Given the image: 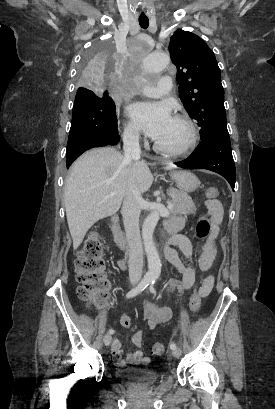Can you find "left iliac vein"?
<instances>
[{
  "instance_id": "obj_1",
  "label": "left iliac vein",
  "mask_w": 275,
  "mask_h": 409,
  "mask_svg": "<svg viewBox=\"0 0 275 409\" xmlns=\"http://www.w3.org/2000/svg\"><path fill=\"white\" fill-rule=\"evenodd\" d=\"M171 352H172V355L174 357H179L180 356V350L178 348L173 349Z\"/></svg>"
}]
</instances>
